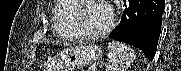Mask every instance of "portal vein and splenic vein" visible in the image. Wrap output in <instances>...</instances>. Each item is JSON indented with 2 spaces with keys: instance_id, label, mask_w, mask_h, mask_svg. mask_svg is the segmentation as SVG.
<instances>
[{
  "instance_id": "1",
  "label": "portal vein and splenic vein",
  "mask_w": 181,
  "mask_h": 71,
  "mask_svg": "<svg viewBox=\"0 0 181 71\" xmlns=\"http://www.w3.org/2000/svg\"><path fill=\"white\" fill-rule=\"evenodd\" d=\"M93 71H95V67H93V69H92Z\"/></svg>"
}]
</instances>
